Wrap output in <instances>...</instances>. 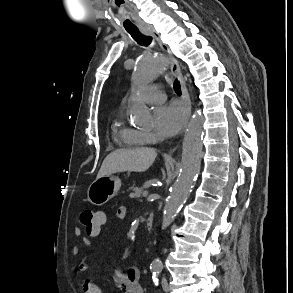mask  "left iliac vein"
Listing matches in <instances>:
<instances>
[{"mask_svg":"<svg viewBox=\"0 0 293 293\" xmlns=\"http://www.w3.org/2000/svg\"><path fill=\"white\" fill-rule=\"evenodd\" d=\"M162 288L166 293L169 291L168 282L165 278L162 279Z\"/></svg>","mask_w":293,"mask_h":293,"instance_id":"obj_1","label":"left iliac vein"}]
</instances>
